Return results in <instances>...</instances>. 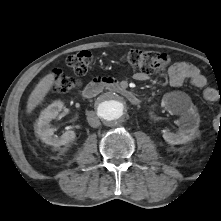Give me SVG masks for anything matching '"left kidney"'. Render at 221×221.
Listing matches in <instances>:
<instances>
[{"mask_svg": "<svg viewBox=\"0 0 221 221\" xmlns=\"http://www.w3.org/2000/svg\"><path fill=\"white\" fill-rule=\"evenodd\" d=\"M161 106L174 115H180L178 132L171 133L163 130L164 140L172 145L190 141L199 125V117L190 97L180 91L166 93L162 98Z\"/></svg>", "mask_w": 221, "mask_h": 221, "instance_id": "obj_1", "label": "left kidney"}]
</instances>
